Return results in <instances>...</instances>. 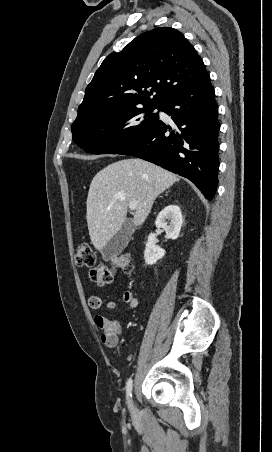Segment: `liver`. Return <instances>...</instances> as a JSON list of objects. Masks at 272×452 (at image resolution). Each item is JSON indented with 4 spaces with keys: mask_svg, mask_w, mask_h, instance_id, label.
Returning a JSON list of instances; mask_svg holds the SVG:
<instances>
[{
    "mask_svg": "<svg viewBox=\"0 0 272 452\" xmlns=\"http://www.w3.org/2000/svg\"><path fill=\"white\" fill-rule=\"evenodd\" d=\"M177 180L175 174L139 158L120 160L100 170L91 181L86 203L94 247L101 251L120 230L130 202L137 203L134 225H142L156 197Z\"/></svg>",
    "mask_w": 272,
    "mask_h": 452,
    "instance_id": "6515ba94",
    "label": "liver"
}]
</instances>
